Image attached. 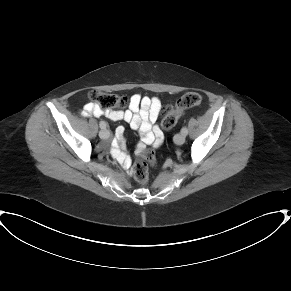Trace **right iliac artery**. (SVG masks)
I'll return each instance as SVG.
<instances>
[{"label":"right iliac artery","mask_w":291,"mask_h":291,"mask_svg":"<svg viewBox=\"0 0 291 291\" xmlns=\"http://www.w3.org/2000/svg\"><path fill=\"white\" fill-rule=\"evenodd\" d=\"M100 128L105 129L106 128V123L104 121H100Z\"/></svg>","instance_id":"obj_1"}]
</instances>
